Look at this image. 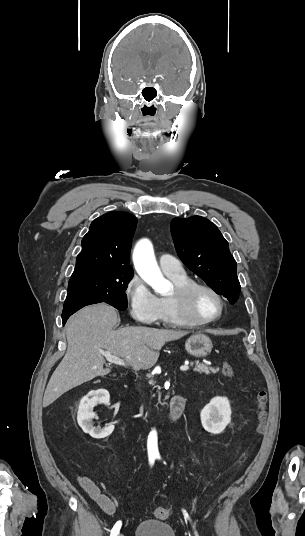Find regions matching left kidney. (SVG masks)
<instances>
[{"label": "left kidney", "mask_w": 305, "mask_h": 536, "mask_svg": "<svg viewBox=\"0 0 305 536\" xmlns=\"http://www.w3.org/2000/svg\"><path fill=\"white\" fill-rule=\"evenodd\" d=\"M231 408L227 398H213L201 410V422L204 430L210 434H221L231 422Z\"/></svg>", "instance_id": "1"}]
</instances>
